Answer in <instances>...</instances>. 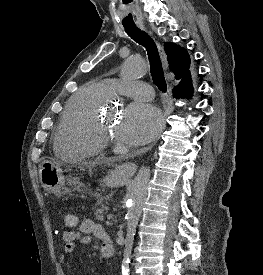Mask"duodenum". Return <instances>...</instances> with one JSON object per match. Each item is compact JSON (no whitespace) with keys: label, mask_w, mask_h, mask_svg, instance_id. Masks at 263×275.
<instances>
[{"label":"duodenum","mask_w":263,"mask_h":275,"mask_svg":"<svg viewBox=\"0 0 263 275\" xmlns=\"http://www.w3.org/2000/svg\"><path fill=\"white\" fill-rule=\"evenodd\" d=\"M103 257L110 258L114 255V246L110 237L106 234L104 238V250L102 252Z\"/></svg>","instance_id":"410a0bca"}]
</instances>
